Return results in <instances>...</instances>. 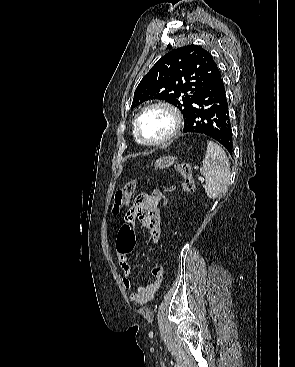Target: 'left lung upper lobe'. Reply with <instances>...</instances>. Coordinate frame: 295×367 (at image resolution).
I'll list each match as a JSON object with an SVG mask.
<instances>
[{
	"mask_svg": "<svg viewBox=\"0 0 295 367\" xmlns=\"http://www.w3.org/2000/svg\"><path fill=\"white\" fill-rule=\"evenodd\" d=\"M216 67L210 53L198 45L172 50L142 78L131 108L147 100L161 99L177 107L185 119Z\"/></svg>",
	"mask_w": 295,
	"mask_h": 367,
	"instance_id": "left-lung-upper-lobe-1",
	"label": "left lung upper lobe"
}]
</instances>
